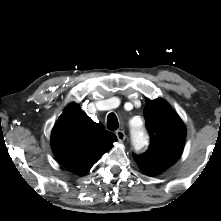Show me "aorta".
<instances>
[{"label":"aorta","instance_id":"obj_1","mask_svg":"<svg viewBox=\"0 0 221 221\" xmlns=\"http://www.w3.org/2000/svg\"><path fill=\"white\" fill-rule=\"evenodd\" d=\"M130 135L133 146L136 150H141L144 146L147 145V135L142 125L136 126L134 124H131Z\"/></svg>","mask_w":221,"mask_h":221}]
</instances>
